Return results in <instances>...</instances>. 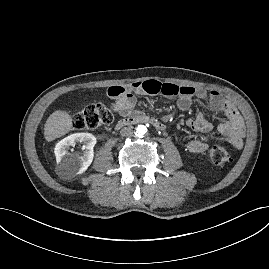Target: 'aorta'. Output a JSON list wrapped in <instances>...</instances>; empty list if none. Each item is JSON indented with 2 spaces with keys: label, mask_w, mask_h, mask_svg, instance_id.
I'll return each instance as SVG.
<instances>
[{
  "label": "aorta",
  "mask_w": 269,
  "mask_h": 269,
  "mask_svg": "<svg viewBox=\"0 0 269 269\" xmlns=\"http://www.w3.org/2000/svg\"><path fill=\"white\" fill-rule=\"evenodd\" d=\"M136 135L139 137H143L147 133V128L144 125H138L136 127Z\"/></svg>",
  "instance_id": "aorta-1"
}]
</instances>
